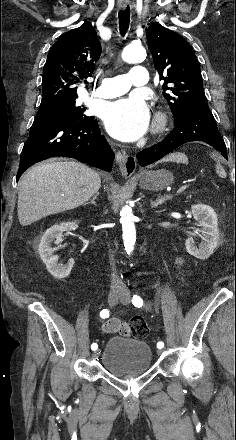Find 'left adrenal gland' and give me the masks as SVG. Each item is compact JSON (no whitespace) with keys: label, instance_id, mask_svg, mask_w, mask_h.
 <instances>
[{"label":"left adrenal gland","instance_id":"a2214340","mask_svg":"<svg viewBox=\"0 0 236 440\" xmlns=\"http://www.w3.org/2000/svg\"><path fill=\"white\" fill-rule=\"evenodd\" d=\"M168 199H171V196H169V195H164V196H161V197H159L158 199H156L155 201H152L151 200V207L152 208H156V207H158L159 205H161V204H163L166 200H168Z\"/></svg>","mask_w":236,"mask_h":440}]
</instances>
